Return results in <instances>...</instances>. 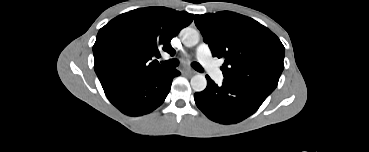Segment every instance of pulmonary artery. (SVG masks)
<instances>
[{
    "mask_svg": "<svg viewBox=\"0 0 369 152\" xmlns=\"http://www.w3.org/2000/svg\"><path fill=\"white\" fill-rule=\"evenodd\" d=\"M196 56L201 65L215 81L222 80V73L213 60L210 48L207 44L202 43L197 47Z\"/></svg>",
    "mask_w": 369,
    "mask_h": 152,
    "instance_id": "e3ab8cb5",
    "label": "pulmonary artery"
}]
</instances>
